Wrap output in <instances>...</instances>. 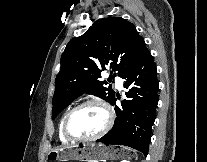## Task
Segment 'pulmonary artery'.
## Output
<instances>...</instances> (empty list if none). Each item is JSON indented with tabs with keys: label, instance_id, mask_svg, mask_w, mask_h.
<instances>
[{
	"label": "pulmonary artery",
	"instance_id": "obj_1",
	"mask_svg": "<svg viewBox=\"0 0 207 162\" xmlns=\"http://www.w3.org/2000/svg\"><path fill=\"white\" fill-rule=\"evenodd\" d=\"M115 86L118 90H121L123 88V81L121 78H116Z\"/></svg>",
	"mask_w": 207,
	"mask_h": 162
}]
</instances>
